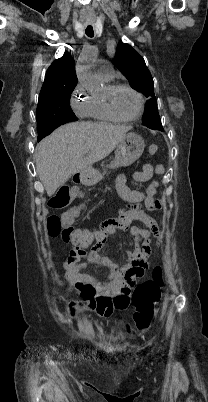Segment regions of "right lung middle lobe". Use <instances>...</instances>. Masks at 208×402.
<instances>
[{
	"mask_svg": "<svg viewBox=\"0 0 208 402\" xmlns=\"http://www.w3.org/2000/svg\"><path fill=\"white\" fill-rule=\"evenodd\" d=\"M75 86L65 87L47 92L39 97L37 106V123L55 119L64 123L76 121L78 118L70 108V97ZM45 137L44 132L38 130V141Z\"/></svg>",
	"mask_w": 208,
	"mask_h": 402,
	"instance_id": "right-lung-middle-lobe-1",
	"label": "right lung middle lobe"
}]
</instances>
